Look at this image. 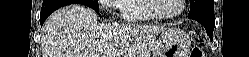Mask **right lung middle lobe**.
I'll return each mask as SVG.
<instances>
[{"label":"right lung middle lobe","instance_id":"dd1d6c3e","mask_svg":"<svg viewBox=\"0 0 249 57\" xmlns=\"http://www.w3.org/2000/svg\"><path fill=\"white\" fill-rule=\"evenodd\" d=\"M83 5L99 10L98 0H83Z\"/></svg>","mask_w":249,"mask_h":57}]
</instances>
